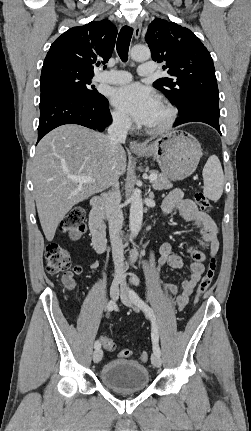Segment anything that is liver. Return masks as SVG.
I'll list each match as a JSON object with an SVG mask.
<instances>
[{"label":"liver","mask_w":251,"mask_h":431,"mask_svg":"<svg viewBox=\"0 0 251 431\" xmlns=\"http://www.w3.org/2000/svg\"><path fill=\"white\" fill-rule=\"evenodd\" d=\"M126 171L122 146L112 149L108 136L68 124L49 132L38 143L32 179L39 220L50 242L65 215L76 204L112 185ZM70 176H90L80 184Z\"/></svg>","instance_id":"6515ba94"}]
</instances>
